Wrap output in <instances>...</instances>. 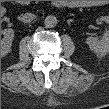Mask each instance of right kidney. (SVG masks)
Segmentation results:
<instances>
[{"label":"right kidney","mask_w":109,"mask_h":109,"mask_svg":"<svg viewBox=\"0 0 109 109\" xmlns=\"http://www.w3.org/2000/svg\"><path fill=\"white\" fill-rule=\"evenodd\" d=\"M4 37L1 39V55L5 56L9 53L12 45V41L14 38V30L13 29H4L2 31Z\"/></svg>","instance_id":"right-kidney-1"}]
</instances>
